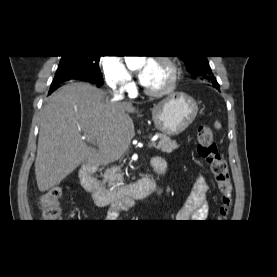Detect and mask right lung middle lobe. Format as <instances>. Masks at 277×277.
Wrapping results in <instances>:
<instances>
[{
	"label": "right lung middle lobe",
	"mask_w": 277,
	"mask_h": 277,
	"mask_svg": "<svg viewBox=\"0 0 277 277\" xmlns=\"http://www.w3.org/2000/svg\"><path fill=\"white\" fill-rule=\"evenodd\" d=\"M99 59L100 56H62L54 80H60L66 75H81L95 82H101Z\"/></svg>",
	"instance_id": "right-lung-middle-lobe-1"
}]
</instances>
